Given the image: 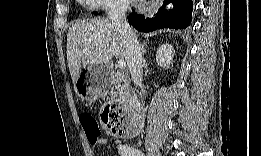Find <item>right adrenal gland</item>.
Wrapping results in <instances>:
<instances>
[{
  "label": "right adrenal gland",
  "mask_w": 261,
  "mask_h": 156,
  "mask_svg": "<svg viewBox=\"0 0 261 156\" xmlns=\"http://www.w3.org/2000/svg\"><path fill=\"white\" fill-rule=\"evenodd\" d=\"M141 51H142V55H145L146 51L144 45H141Z\"/></svg>",
  "instance_id": "2a0ac1e0"
}]
</instances>
